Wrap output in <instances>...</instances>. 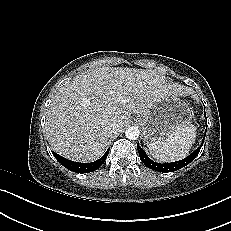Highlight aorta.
Listing matches in <instances>:
<instances>
[{
    "label": "aorta",
    "instance_id": "762f6f07",
    "mask_svg": "<svg viewBox=\"0 0 231 231\" xmlns=\"http://www.w3.org/2000/svg\"><path fill=\"white\" fill-rule=\"evenodd\" d=\"M125 136L126 138H128L129 140H136L139 138L140 136V131L137 127L135 126H130L126 129L125 131Z\"/></svg>",
    "mask_w": 231,
    "mask_h": 231
}]
</instances>
